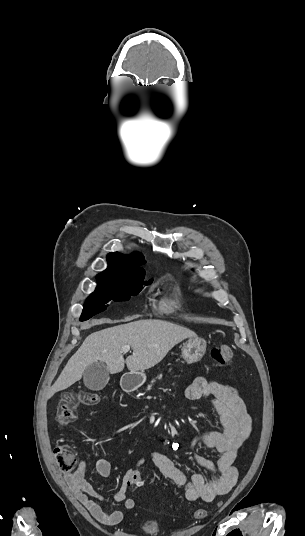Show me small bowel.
<instances>
[{"instance_id": "c3829d8e", "label": "small bowel", "mask_w": 305, "mask_h": 536, "mask_svg": "<svg viewBox=\"0 0 305 536\" xmlns=\"http://www.w3.org/2000/svg\"><path fill=\"white\" fill-rule=\"evenodd\" d=\"M185 394L189 400L193 401L205 396H213L212 405L224 427L223 432H201L190 444V447H194L201 443L218 453L216 462L195 457L197 464L212 472L213 476L206 479L201 474H194L191 478H187L170 457L159 452H152L150 458L161 474L184 488L187 500L200 499L204 502H211L227 494L235 486L238 471L234 466V461L240 447L250 437L252 420L238 391L231 385L198 377L187 387ZM168 441L171 440L168 439ZM137 463L143 464L144 459H140ZM86 469L87 461L82 459L73 472L65 475L69 488L98 522L106 526L117 525L121 522L123 513L108 511L105 508L103 497L85 479ZM96 471L104 478L109 477L111 474L109 461L99 459L96 462ZM128 482L126 472L121 487L113 499L115 502L122 503L125 509L131 510L136 502L127 496Z\"/></svg>"}]
</instances>
